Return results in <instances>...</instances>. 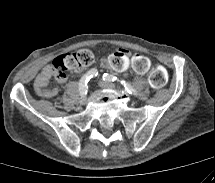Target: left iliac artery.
Returning a JSON list of instances; mask_svg holds the SVG:
<instances>
[{"mask_svg":"<svg viewBox=\"0 0 215 183\" xmlns=\"http://www.w3.org/2000/svg\"><path fill=\"white\" fill-rule=\"evenodd\" d=\"M102 79L104 81H109V82H120V84H122L125 88V90L129 93V94H133V95H137V92L135 91V89L131 86V84H129L128 82L124 81V80H120L119 78H117L116 76L110 75V74H103Z\"/></svg>","mask_w":215,"mask_h":183,"instance_id":"left-iliac-artery-1","label":"left iliac artery"}]
</instances>
